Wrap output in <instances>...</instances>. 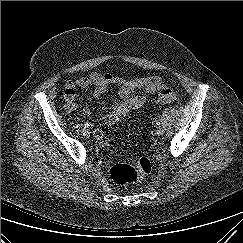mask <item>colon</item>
Wrapping results in <instances>:
<instances>
[{"label":"colon","instance_id":"1","mask_svg":"<svg viewBox=\"0 0 243 243\" xmlns=\"http://www.w3.org/2000/svg\"><path fill=\"white\" fill-rule=\"evenodd\" d=\"M176 100L177 94L169 88H163L157 98L158 103H172ZM151 169V161L146 157L136 160L134 164L119 162L111 167L110 178L118 185L136 184L141 182Z\"/></svg>","mask_w":243,"mask_h":243}]
</instances>
